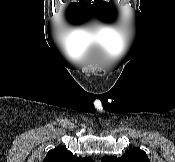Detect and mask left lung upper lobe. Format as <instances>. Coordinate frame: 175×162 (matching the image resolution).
Listing matches in <instances>:
<instances>
[{
	"label": "left lung upper lobe",
	"mask_w": 175,
	"mask_h": 162,
	"mask_svg": "<svg viewBox=\"0 0 175 162\" xmlns=\"http://www.w3.org/2000/svg\"><path fill=\"white\" fill-rule=\"evenodd\" d=\"M102 162H150L146 153L138 148H132L125 152L119 158L112 156H105L101 159Z\"/></svg>",
	"instance_id": "5c2ea615"
}]
</instances>
